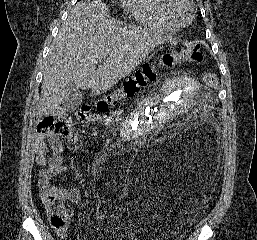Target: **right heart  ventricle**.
<instances>
[{
  "mask_svg": "<svg viewBox=\"0 0 257 240\" xmlns=\"http://www.w3.org/2000/svg\"><path fill=\"white\" fill-rule=\"evenodd\" d=\"M123 8L144 27L161 32L173 33L177 27L164 13L163 0H122Z\"/></svg>",
  "mask_w": 257,
  "mask_h": 240,
  "instance_id": "1",
  "label": "right heart ventricle"
}]
</instances>
